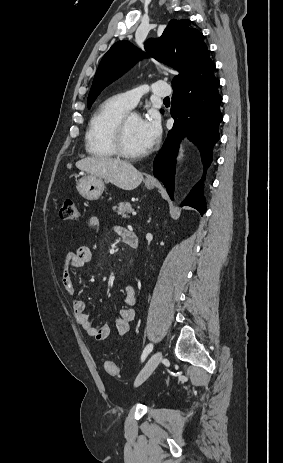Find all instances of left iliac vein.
<instances>
[{"label": "left iliac vein", "mask_w": 283, "mask_h": 463, "mask_svg": "<svg viewBox=\"0 0 283 463\" xmlns=\"http://www.w3.org/2000/svg\"><path fill=\"white\" fill-rule=\"evenodd\" d=\"M162 357L163 356H162L161 351H157L156 353H154L150 357V359L147 361V363L145 364L143 369L138 374V376H137V378L135 380V383H134L135 386H139L140 384H142L152 374V372L155 370V368L161 362Z\"/></svg>", "instance_id": "1"}]
</instances>
